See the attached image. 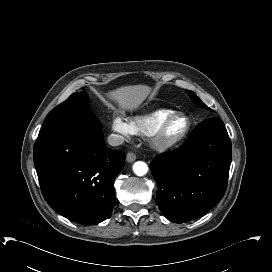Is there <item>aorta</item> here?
Instances as JSON below:
<instances>
[{
    "instance_id": "762f6f07",
    "label": "aorta",
    "mask_w": 272,
    "mask_h": 272,
    "mask_svg": "<svg viewBox=\"0 0 272 272\" xmlns=\"http://www.w3.org/2000/svg\"><path fill=\"white\" fill-rule=\"evenodd\" d=\"M133 171L137 176H144L148 172V166L145 162L138 161L134 163Z\"/></svg>"
}]
</instances>
